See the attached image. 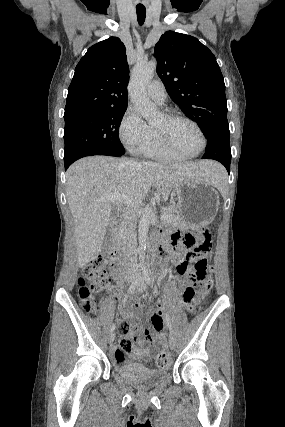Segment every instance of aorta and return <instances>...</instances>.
Listing matches in <instances>:
<instances>
[{"mask_svg": "<svg viewBox=\"0 0 285 427\" xmlns=\"http://www.w3.org/2000/svg\"><path fill=\"white\" fill-rule=\"evenodd\" d=\"M156 66L157 62L155 60L145 63H137L133 68L128 87L129 96L135 110L146 120H151L158 114L156 106L149 100L146 93V85L153 78ZM151 218L152 208L148 205L143 210L138 228L139 246L142 254V250L146 244Z\"/></svg>", "mask_w": 285, "mask_h": 427, "instance_id": "762f6f07", "label": "aorta"}]
</instances>
